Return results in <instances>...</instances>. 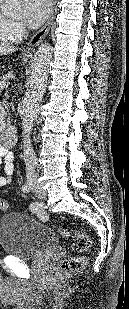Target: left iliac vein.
<instances>
[{"mask_svg": "<svg viewBox=\"0 0 129 309\" xmlns=\"http://www.w3.org/2000/svg\"><path fill=\"white\" fill-rule=\"evenodd\" d=\"M32 191L35 194V196L40 199L41 201L44 200L46 198V192L39 186L38 182H37V178L33 179V183H32ZM38 208H46L43 203L38 204Z\"/></svg>", "mask_w": 129, "mask_h": 309, "instance_id": "1", "label": "left iliac vein"}]
</instances>
